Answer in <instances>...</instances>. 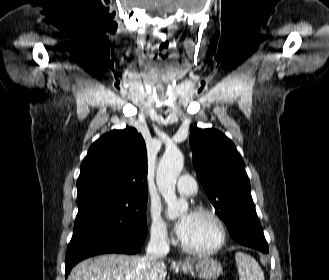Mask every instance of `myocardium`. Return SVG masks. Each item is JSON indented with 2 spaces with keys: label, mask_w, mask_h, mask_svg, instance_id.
<instances>
[{
  "label": "myocardium",
  "mask_w": 329,
  "mask_h": 280,
  "mask_svg": "<svg viewBox=\"0 0 329 280\" xmlns=\"http://www.w3.org/2000/svg\"><path fill=\"white\" fill-rule=\"evenodd\" d=\"M192 213L197 214V215H203V216H206L209 219H211L217 227L218 239H217V242L212 247L205 248V249L192 248V247L188 246L187 244H185L181 239L180 240L181 248L186 253H188L190 255H194V256H210V255L216 254L223 248V246L226 243V239H227V229H226L224 221L215 211H213L212 209L207 208V207H203V206L195 207L192 210Z\"/></svg>",
  "instance_id": "myocardium-1"
}]
</instances>
